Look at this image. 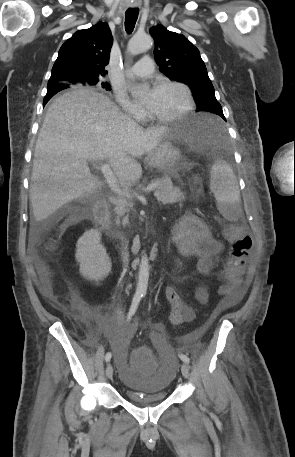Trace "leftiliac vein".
Instances as JSON below:
<instances>
[{
  "label": "left iliac vein",
  "instance_id": "obj_1",
  "mask_svg": "<svg viewBox=\"0 0 295 457\" xmlns=\"http://www.w3.org/2000/svg\"><path fill=\"white\" fill-rule=\"evenodd\" d=\"M181 372H182V375L184 376V378L189 377V366L186 363H183L181 365Z\"/></svg>",
  "mask_w": 295,
  "mask_h": 457
}]
</instances>
